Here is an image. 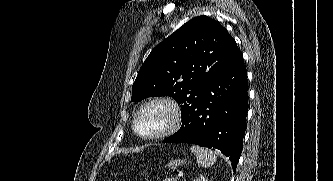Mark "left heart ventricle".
<instances>
[{"mask_svg":"<svg viewBox=\"0 0 333 181\" xmlns=\"http://www.w3.org/2000/svg\"><path fill=\"white\" fill-rule=\"evenodd\" d=\"M170 122V112L162 105L146 108L137 120V130L142 135H152L165 129Z\"/></svg>","mask_w":333,"mask_h":181,"instance_id":"1","label":"left heart ventricle"}]
</instances>
